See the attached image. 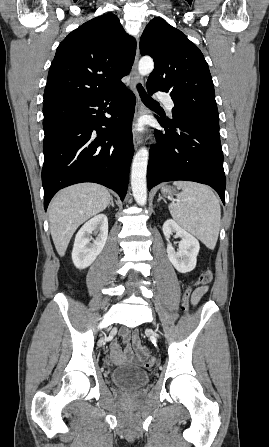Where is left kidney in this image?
<instances>
[{
    "mask_svg": "<svg viewBox=\"0 0 269 447\" xmlns=\"http://www.w3.org/2000/svg\"><path fill=\"white\" fill-rule=\"evenodd\" d=\"M163 233L166 239H169L171 233H176V237H181L179 247H182V249H179V251H175L170 241L167 243L168 257L177 271H181V273L192 271L197 263V255L200 249L198 239L191 233H188V231H185V229H182L174 220H166L164 222Z\"/></svg>",
    "mask_w": 269,
    "mask_h": 447,
    "instance_id": "obj_1",
    "label": "left kidney"
}]
</instances>
